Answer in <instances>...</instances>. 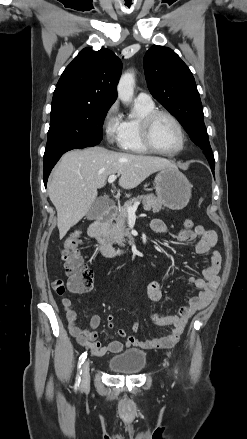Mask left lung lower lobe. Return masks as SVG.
Here are the masks:
<instances>
[{"mask_svg": "<svg viewBox=\"0 0 247 439\" xmlns=\"http://www.w3.org/2000/svg\"><path fill=\"white\" fill-rule=\"evenodd\" d=\"M211 169H212V172L214 173V167H211Z\"/></svg>", "mask_w": 247, "mask_h": 439, "instance_id": "1", "label": "left lung lower lobe"}]
</instances>
